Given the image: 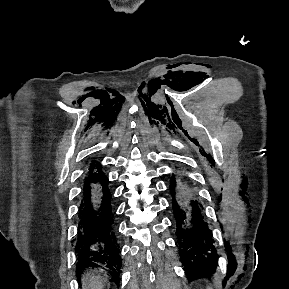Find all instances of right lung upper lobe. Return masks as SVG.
I'll list each match as a JSON object with an SVG mask.
<instances>
[{
	"mask_svg": "<svg viewBox=\"0 0 289 289\" xmlns=\"http://www.w3.org/2000/svg\"><path fill=\"white\" fill-rule=\"evenodd\" d=\"M100 168H101L100 163H98V161H94L92 164H90V168L88 170L89 175H92V174L100 171Z\"/></svg>",
	"mask_w": 289,
	"mask_h": 289,
	"instance_id": "obj_1",
	"label": "right lung upper lobe"
}]
</instances>
